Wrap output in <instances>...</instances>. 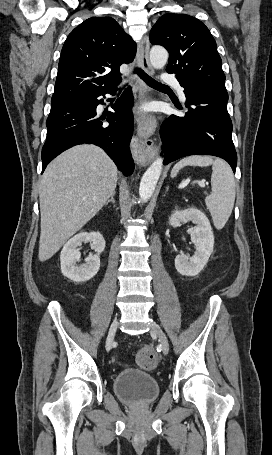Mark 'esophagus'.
<instances>
[{"instance_id":"obj_1","label":"esophagus","mask_w":272,"mask_h":455,"mask_svg":"<svg viewBox=\"0 0 272 455\" xmlns=\"http://www.w3.org/2000/svg\"><path fill=\"white\" fill-rule=\"evenodd\" d=\"M149 38L145 35L138 44V60L139 65L148 74H153V69L149 61ZM141 90L140 97L143 98L147 92V87L143 81L139 80ZM157 126V121L154 116L139 115L137 117V142L138 150H135L134 159L140 166L149 164L158 153V147L151 139Z\"/></svg>"}]
</instances>
